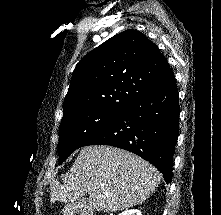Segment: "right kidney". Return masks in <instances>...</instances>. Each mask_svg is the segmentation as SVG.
<instances>
[{
  "label": "right kidney",
  "instance_id": "right-kidney-1",
  "mask_svg": "<svg viewBox=\"0 0 221 215\" xmlns=\"http://www.w3.org/2000/svg\"><path fill=\"white\" fill-rule=\"evenodd\" d=\"M119 215H142V213L140 210L131 209V210H126L125 212H122Z\"/></svg>",
  "mask_w": 221,
  "mask_h": 215
}]
</instances>
